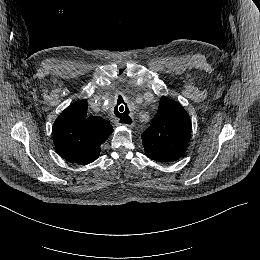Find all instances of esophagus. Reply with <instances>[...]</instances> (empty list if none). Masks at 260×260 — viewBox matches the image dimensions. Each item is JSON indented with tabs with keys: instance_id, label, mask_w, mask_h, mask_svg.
<instances>
[{
	"instance_id": "1",
	"label": "esophagus",
	"mask_w": 260,
	"mask_h": 260,
	"mask_svg": "<svg viewBox=\"0 0 260 260\" xmlns=\"http://www.w3.org/2000/svg\"><path fill=\"white\" fill-rule=\"evenodd\" d=\"M123 125L131 127L134 125V119L133 117H130V120H127L126 123H123Z\"/></svg>"
}]
</instances>
